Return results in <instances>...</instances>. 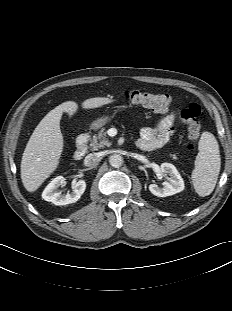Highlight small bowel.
Instances as JSON below:
<instances>
[{"instance_id":"small-bowel-1","label":"small bowel","mask_w":232,"mask_h":311,"mask_svg":"<svg viewBox=\"0 0 232 311\" xmlns=\"http://www.w3.org/2000/svg\"><path fill=\"white\" fill-rule=\"evenodd\" d=\"M176 118L177 114L171 113L162 117L155 126L144 127L138 147L144 151H154L165 146L173 134Z\"/></svg>"}]
</instances>
